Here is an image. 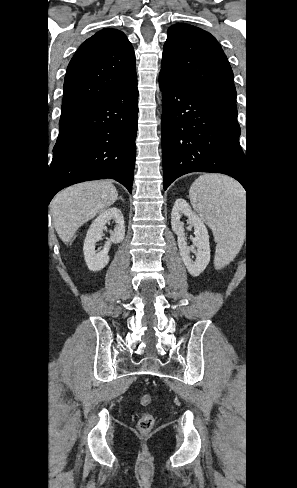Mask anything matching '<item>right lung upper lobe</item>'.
Listing matches in <instances>:
<instances>
[{"label": "right lung upper lobe", "mask_w": 297, "mask_h": 488, "mask_svg": "<svg viewBox=\"0 0 297 488\" xmlns=\"http://www.w3.org/2000/svg\"><path fill=\"white\" fill-rule=\"evenodd\" d=\"M136 76L135 54L123 32L106 28L81 44L64 81L61 118L109 95Z\"/></svg>", "instance_id": "cb5924a9"}]
</instances>
